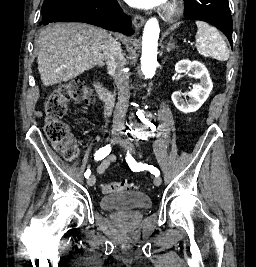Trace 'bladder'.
<instances>
[{
    "instance_id": "1",
    "label": "bladder",
    "mask_w": 256,
    "mask_h": 267,
    "mask_svg": "<svg viewBox=\"0 0 256 267\" xmlns=\"http://www.w3.org/2000/svg\"><path fill=\"white\" fill-rule=\"evenodd\" d=\"M101 207L108 210L137 209L151 206L148 195H108L100 198Z\"/></svg>"
}]
</instances>
